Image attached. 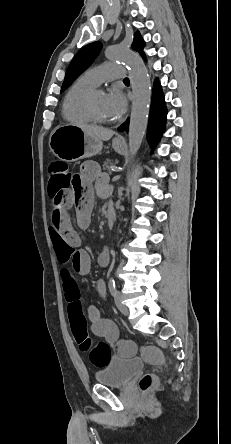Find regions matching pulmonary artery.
I'll list each match as a JSON object with an SVG mask.
<instances>
[{"label": "pulmonary artery", "instance_id": "e3ab8cb5", "mask_svg": "<svg viewBox=\"0 0 231 444\" xmlns=\"http://www.w3.org/2000/svg\"><path fill=\"white\" fill-rule=\"evenodd\" d=\"M125 68L115 63H104L100 66L93 67L83 75L92 84L98 86L102 82L123 79L125 77Z\"/></svg>", "mask_w": 231, "mask_h": 444}]
</instances>
